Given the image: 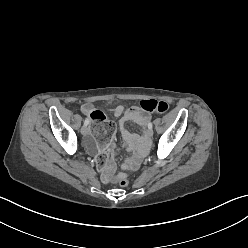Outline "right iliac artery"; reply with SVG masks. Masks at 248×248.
I'll return each instance as SVG.
<instances>
[{"mask_svg": "<svg viewBox=\"0 0 248 248\" xmlns=\"http://www.w3.org/2000/svg\"><path fill=\"white\" fill-rule=\"evenodd\" d=\"M89 122H90V121H89V118H87V119L84 121V125L87 126V125L89 124Z\"/></svg>", "mask_w": 248, "mask_h": 248, "instance_id": "obj_1", "label": "right iliac artery"}]
</instances>
